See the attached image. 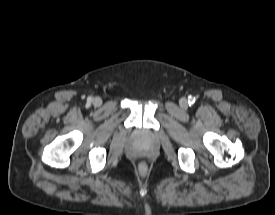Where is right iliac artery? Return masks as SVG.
I'll return each mask as SVG.
<instances>
[{
  "label": "right iliac artery",
  "instance_id": "82829eb1",
  "mask_svg": "<svg viewBox=\"0 0 275 215\" xmlns=\"http://www.w3.org/2000/svg\"><path fill=\"white\" fill-rule=\"evenodd\" d=\"M91 101H92V98H88V103H91Z\"/></svg>",
  "mask_w": 275,
  "mask_h": 215
}]
</instances>
